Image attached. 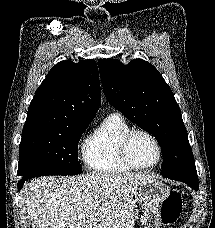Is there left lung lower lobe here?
I'll list each match as a JSON object with an SVG mask.
<instances>
[{"label":"left lung lower lobe","mask_w":215,"mask_h":228,"mask_svg":"<svg viewBox=\"0 0 215 228\" xmlns=\"http://www.w3.org/2000/svg\"><path fill=\"white\" fill-rule=\"evenodd\" d=\"M163 177L186 183L195 191H198L199 189V182H198L196 168L186 169L181 172L175 173L173 175H164Z\"/></svg>","instance_id":"left-lung-lower-lobe-1"}]
</instances>
